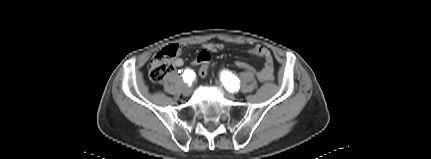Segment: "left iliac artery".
<instances>
[{
  "mask_svg": "<svg viewBox=\"0 0 431 159\" xmlns=\"http://www.w3.org/2000/svg\"><path fill=\"white\" fill-rule=\"evenodd\" d=\"M221 81L223 83V85L225 86V88L229 91V92H235L238 91L240 86V80L233 75L232 73L228 72V71H223L221 74Z\"/></svg>",
  "mask_w": 431,
  "mask_h": 159,
  "instance_id": "1",
  "label": "left iliac artery"
}]
</instances>
